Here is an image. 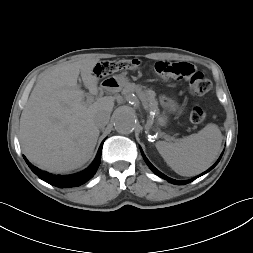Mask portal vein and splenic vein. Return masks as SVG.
I'll list each match as a JSON object with an SVG mask.
<instances>
[{"label":"portal vein and splenic vein","instance_id":"18ae733b","mask_svg":"<svg viewBox=\"0 0 253 253\" xmlns=\"http://www.w3.org/2000/svg\"><path fill=\"white\" fill-rule=\"evenodd\" d=\"M92 102H93L92 96L91 95H87L86 103L87 104H91ZM143 106H144V109H146V106L145 105H143Z\"/></svg>","mask_w":253,"mask_h":253}]
</instances>
